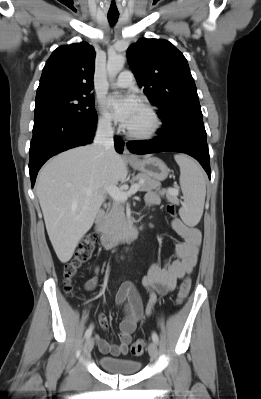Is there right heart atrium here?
<instances>
[{
	"mask_svg": "<svg viewBox=\"0 0 261 399\" xmlns=\"http://www.w3.org/2000/svg\"><path fill=\"white\" fill-rule=\"evenodd\" d=\"M98 127L103 132H112L114 129V125L110 115L104 111H100V115L98 117Z\"/></svg>",
	"mask_w": 261,
	"mask_h": 399,
	"instance_id": "right-heart-atrium-1",
	"label": "right heart atrium"
}]
</instances>
